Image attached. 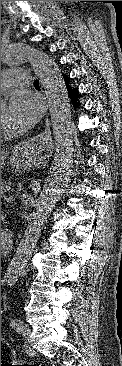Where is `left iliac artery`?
I'll list each match as a JSON object with an SVG mask.
<instances>
[{
  "instance_id": "1",
  "label": "left iliac artery",
  "mask_w": 122,
  "mask_h": 366,
  "mask_svg": "<svg viewBox=\"0 0 122 366\" xmlns=\"http://www.w3.org/2000/svg\"><path fill=\"white\" fill-rule=\"evenodd\" d=\"M10 325L14 329H16L17 332H20L21 328L23 327V324H22L21 320H19V319H12L10 322Z\"/></svg>"
}]
</instances>
